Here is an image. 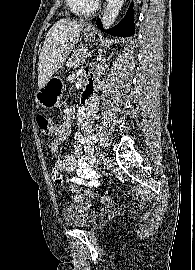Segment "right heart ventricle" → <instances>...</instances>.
<instances>
[{
	"label": "right heart ventricle",
	"mask_w": 195,
	"mask_h": 270,
	"mask_svg": "<svg viewBox=\"0 0 195 270\" xmlns=\"http://www.w3.org/2000/svg\"><path fill=\"white\" fill-rule=\"evenodd\" d=\"M67 3L76 15H89L97 7V0H67Z\"/></svg>",
	"instance_id": "obj_1"
}]
</instances>
